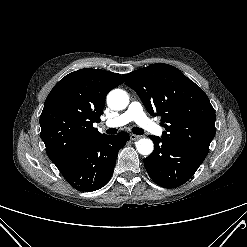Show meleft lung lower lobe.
<instances>
[{
	"label": "left lung lower lobe",
	"instance_id": "left-lung-lower-lobe-1",
	"mask_svg": "<svg viewBox=\"0 0 247 247\" xmlns=\"http://www.w3.org/2000/svg\"><path fill=\"white\" fill-rule=\"evenodd\" d=\"M149 137L155 148L153 153L144 159V166L151 179L164 188H176L187 182L207 156L157 136Z\"/></svg>",
	"mask_w": 247,
	"mask_h": 247
}]
</instances>
